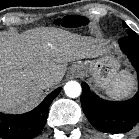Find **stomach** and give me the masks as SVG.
<instances>
[{
	"instance_id": "1",
	"label": "stomach",
	"mask_w": 139,
	"mask_h": 139,
	"mask_svg": "<svg viewBox=\"0 0 139 139\" xmlns=\"http://www.w3.org/2000/svg\"><path fill=\"white\" fill-rule=\"evenodd\" d=\"M77 67H81L91 73L98 86L108 88L116 76L118 63L111 57H107L99 60L79 61L72 66V71H75Z\"/></svg>"
}]
</instances>
